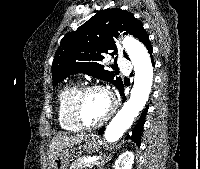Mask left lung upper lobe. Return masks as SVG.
Instances as JSON below:
<instances>
[{
    "instance_id": "left-lung-upper-lobe-1",
    "label": "left lung upper lobe",
    "mask_w": 200,
    "mask_h": 169,
    "mask_svg": "<svg viewBox=\"0 0 200 169\" xmlns=\"http://www.w3.org/2000/svg\"><path fill=\"white\" fill-rule=\"evenodd\" d=\"M121 32L137 37L144 45L149 41L142 23L130 12L119 8L102 10L76 31L66 34L52 63L53 85L70 74L82 72L111 82L119 88L123 83L121 78L116 77L114 72L105 70L100 61L104 59L103 53L112 51V56L117 54L114 37L117 38ZM124 56L128 59L125 52Z\"/></svg>"
}]
</instances>
